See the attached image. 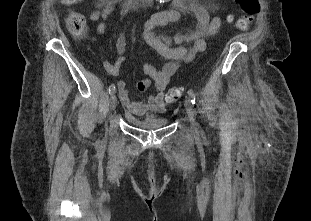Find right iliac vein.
<instances>
[{"mask_svg": "<svg viewBox=\"0 0 311 221\" xmlns=\"http://www.w3.org/2000/svg\"><path fill=\"white\" fill-rule=\"evenodd\" d=\"M116 105H117V98H116V95H115V92H114V93H112L110 95V98H109V108H110V111H113L116 108Z\"/></svg>", "mask_w": 311, "mask_h": 221, "instance_id": "right-iliac-vein-1", "label": "right iliac vein"}]
</instances>
